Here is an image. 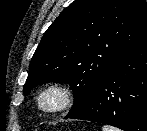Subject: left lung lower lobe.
I'll return each mask as SVG.
<instances>
[{"mask_svg":"<svg viewBox=\"0 0 147 131\" xmlns=\"http://www.w3.org/2000/svg\"><path fill=\"white\" fill-rule=\"evenodd\" d=\"M66 118L147 131V40L119 57L88 103Z\"/></svg>","mask_w":147,"mask_h":131,"instance_id":"1","label":"left lung lower lobe"}]
</instances>
